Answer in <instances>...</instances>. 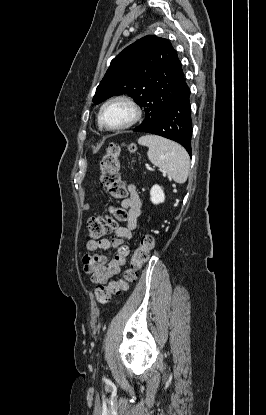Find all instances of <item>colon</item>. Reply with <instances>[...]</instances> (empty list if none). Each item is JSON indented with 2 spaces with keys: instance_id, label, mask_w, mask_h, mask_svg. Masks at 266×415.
<instances>
[{
  "instance_id": "obj_1",
  "label": "colon",
  "mask_w": 266,
  "mask_h": 415,
  "mask_svg": "<svg viewBox=\"0 0 266 415\" xmlns=\"http://www.w3.org/2000/svg\"><path fill=\"white\" fill-rule=\"evenodd\" d=\"M129 149L133 151L135 147L130 145ZM120 152V145L110 144L99 162L100 184L116 199H122L126 195V189L119 173ZM124 217H126V214L123 209L112 207L109 215L89 218L87 220V236L97 240L109 234L114 228L115 221ZM154 245L155 241L151 234L145 233L142 235L122 277L96 288L95 297L98 303L107 304L113 296L119 295L128 289L129 284L135 281L137 272L148 261Z\"/></svg>"
}]
</instances>
